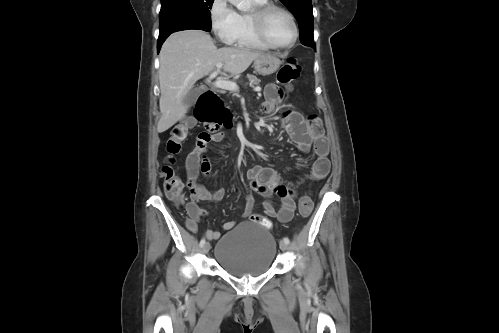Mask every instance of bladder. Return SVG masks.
Masks as SVG:
<instances>
[{"label": "bladder", "instance_id": "obj_1", "mask_svg": "<svg viewBox=\"0 0 499 333\" xmlns=\"http://www.w3.org/2000/svg\"><path fill=\"white\" fill-rule=\"evenodd\" d=\"M276 256V240L262 225L241 222L217 241L214 258L234 276H259L270 270Z\"/></svg>", "mask_w": 499, "mask_h": 333}]
</instances>
